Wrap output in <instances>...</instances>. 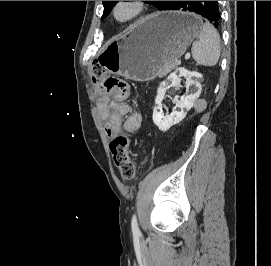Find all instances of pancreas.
I'll return each instance as SVG.
<instances>
[{
	"label": "pancreas",
	"instance_id": "pancreas-1",
	"mask_svg": "<svg viewBox=\"0 0 271 266\" xmlns=\"http://www.w3.org/2000/svg\"><path fill=\"white\" fill-rule=\"evenodd\" d=\"M178 66L177 61L170 62L164 65V70L159 76H164L169 73L172 69H175Z\"/></svg>",
	"mask_w": 271,
	"mask_h": 266
}]
</instances>
